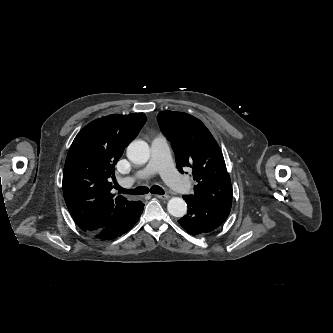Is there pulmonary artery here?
Masks as SVG:
<instances>
[{
    "instance_id": "1",
    "label": "pulmonary artery",
    "mask_w": 333,
    "mask_h": 333,
    "mask_svg": "<svg viewBox=\"0 0 333 333\" xmlns=\"http://www.w3.org/2000/svg\"><path fill=\"white\" fill-rule=\"evenodd\" d=\"M159 173L164 181L172 188L186 193L190 190V183L174 169L168 140L163 135L156 136L151 142V158L148 164L138 170L132 177L123 180L126 187L131 186L137 179H145Z\"/></svg>"
}]
</instances>
